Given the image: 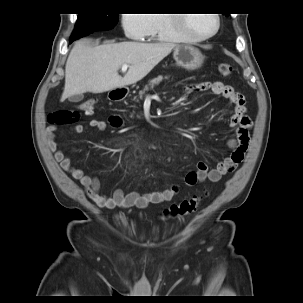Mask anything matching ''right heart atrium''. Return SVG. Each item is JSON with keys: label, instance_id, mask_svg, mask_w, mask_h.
<instances>
[{"label": "right heart atrium", "instance_id": "1", "mask_svg": "<svg viewBox=\"0 0 303 303\" xmlns=\"http://www.w3.org/2000/svg\"><path fill=\"white\" fill-rule=\"evenodd\" d=\"M122 27L127 38L143 39L151 28L150 14H124Z\"/></svg>", "mask_w": 303, "mask_h": 303}]
</instances>
